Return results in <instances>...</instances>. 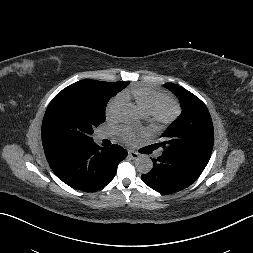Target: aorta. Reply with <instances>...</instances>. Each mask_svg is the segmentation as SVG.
I'll use <instances>...</instances> for the list:
<instances>
[{
    "instance_id": "obj_1",
    "label": "aorta",
    "mask_w": 253,
    "mask_h": 253,
    "mask_svg": "<svg viewBox=\"0 0 253 253\" xmlns=\"http://www.w3.org/2000/svg\"><path fill=\"white\" fill-rule=\"evenodd\" d=\"M141 117L139 108L131 103L124 105L120 110V120L124 123H136ZM138 172L147 174L153 167V162L147 155L138 157L135 161Z\"/></svg>"
}]
</instances>
